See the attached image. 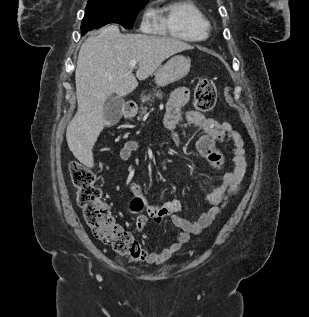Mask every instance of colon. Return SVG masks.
Listing matches in <instances>:
<instances>
[{
  "instance_id": "obj_1",
  "label": "colon",
  "mask_w": 309,
  "mask_h": 317,
  "mask_svg": "<svg viewBox=\"0 0 309 317\" xmlns=\"http://www.w3.org/2000/svg\"><path fill=\"white\" fill-rule=\"evenodd\" d=\"M216 100L217 90L214 82L209 78H202L194 90L195 107L200 111H210ZM69 171L72 183L77 189L78 205L94 235L131 261H142L145 258L144 249L111 215L108 205L102 200V192L96 185L93 171L77 161L70 163ZM134 207L140 209L139 200L135 201Z\"/></svg>"
}]
</instances>
